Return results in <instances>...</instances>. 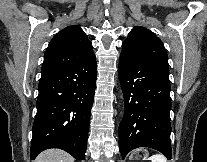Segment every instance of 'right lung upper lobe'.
Instances as JSON below:
<instances>
[{"label":"right lung upper lobe","mask_w":207,"mask_h":162,"mask_svg":"<svg viewBox=\"0 0 207 162\" xmlns=\"http://www.w3.org/2000/svg\"><path fill=\"white\" fill-rule=\"evenodd\" d=\"M95 55L92 44L79 26H68L57 33L45 52L41 75L90 60Z\"/></svg>","instance_id":"right-lung-upper-lobe-1"}]
</instances>
